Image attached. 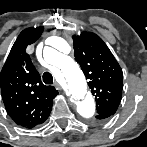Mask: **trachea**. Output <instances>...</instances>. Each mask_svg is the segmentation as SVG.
Listing matches in <instances>:
<instances>
[{"instance_id":"trachea-1","label":"trachea","mask_w":147,"mask_h":147,"mask_svg":"<svg viewBox=\"0 0 147 147\" xmlns=\"http://www.w3.org/2000/svg\"><path fill=\"white\" fill-rule=\"evenodd\" d=\"M43 81L45 84L51 85L53 84V76L49 72H44Z\"/></svg>"}]
</instances>
